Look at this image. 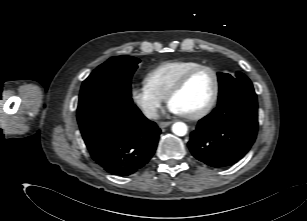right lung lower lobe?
Instances as JSON below:
<instances>
[{
	"label": "right lung lower lobe",
	"mask_w": 307,
	"mask_h": 221,
	"mask_svg": "<svg viewBox=\"0 0 307 221\" xmlns=\"http://www.w3.org/2000/svg\"><path fill=\"white\" fill-rule=\"evenodd\" d=\"M79 126L92 159L119 176H128L149 162L161 131L135 105L107 108Z\"/></svg>",
	"instance_id": "1"
}]
</instances>
